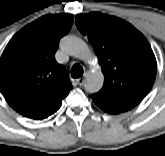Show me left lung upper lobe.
Instances as JSON below:
<instances>
[{
  "instance_id": "1",
  "label": "left lung upper lobe",
  "mask_w": 165,
  "mask_h": 156,
  "mask_svg": "<svg viewBox=\"0 0 165 156\" xmlns=\"http://www.w3.org/2000/svg\"><path fill=\"white\" fill-rule=\"evenodd\" d=\"M75 24L87 35L105 76L95 96L128 111L151 90L156 77V59L147 39L130 23L99 12L79 14Z\"/></svg>"
}]
</instances>
